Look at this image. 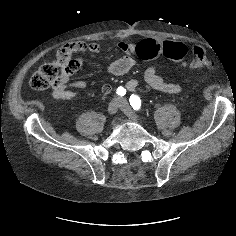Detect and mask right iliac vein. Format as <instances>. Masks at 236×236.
Instances as JSON below:
<instances>
[{
	"label": "right iliac vein",
	"mask_w": 236,
	"mask_h": 236,
	"mask_svg": "<svg viewBox=\"0 0 236 236\" xmlns=\"http://www.w3.org/2000/svg\"><path fill=\"white\" fill-rule=\"evenodd\" d=\"M119 107H120V101L117 99L112 100L107 108L108 114L109 115L115 114Z\"/></svg>",
	"instance_id": "obj_1"
}]
</instances>
